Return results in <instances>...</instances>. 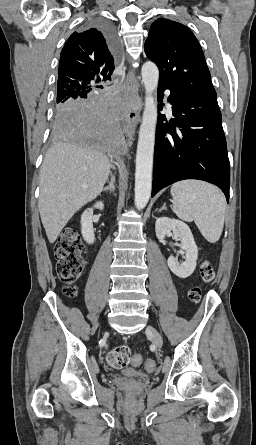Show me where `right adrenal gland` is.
Returning <instances> with one entry per match:
<instances>
[{
	"instance_id": "obj_1",
	"label": "right adrenal gland",
	"mask_w": 256,
	"mask_h": 445,
	"mask_svg": "<svg viewBox=\"0 0 256 445\" xmlns=\"http://www.w3.org/2000/svg\"><path fill=\"white\" fill-rule=\"evenodd\" d=\"M115 189H116V187H115V178L112 175L109 185L107 187L103 188L102 191L111 193V192H115Z\"/></svg>"
}]
</instances>
